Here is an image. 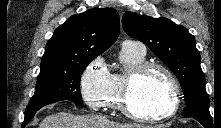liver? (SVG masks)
<instances>
[{"mask_svg": "<svg viewBox=\"0 0 221 128\" xmlns=\"http://www.w3.org/2000/svg\"><path fill=\"white\" fill-rule=\"evenodd\" d=\"M167 125L147 126L142 124H120L98 114L74 115L58 112L45 117L38 128H167Z\"/></svg>", "mask_w": 221, "mask_h": 128, "instance_id": "obj_1", "label": "liver"}]
</instances>
